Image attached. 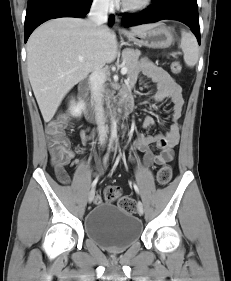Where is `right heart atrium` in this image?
<instances>
[{
    "instance_id": "obj_1",
    "label": "right heart atrium",
    "mask_w": 231,
    "mask_h": 281,
    "mask_svg": "<svg viewBox=\"0 0 231 281\" xmlns=\"http://www.w3.org/2000/svg\"><path fill=\"white\" fill-rule=\"evenodd\" d=\"M94 2L102 8H108L111 5V0H94Z\"/></svg>"
}]
</instances>
